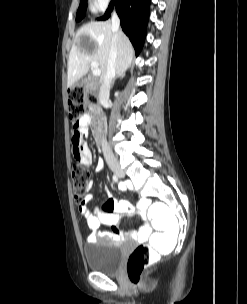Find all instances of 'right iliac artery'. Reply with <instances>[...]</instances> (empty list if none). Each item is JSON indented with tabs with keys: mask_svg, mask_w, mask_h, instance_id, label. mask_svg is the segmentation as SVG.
Wrapping results in <instances>:
<instances>
[{
	"mask_svg": "<svg viewBox=\"0 0 247 304\" xmlns=\"http://www.w3.org/2000/svg\"><path fill=\"white\" fill-rule=\"evenodd\" d=\"M113 180H114V182H117V181H118V178H117L116 175H113Z\"/></svg>",
	"mask_w": 247,
	"mask_h": 304,
	"instance_id": "82829eb1",
	"label": "right iliac artery"
}]
</instances>
